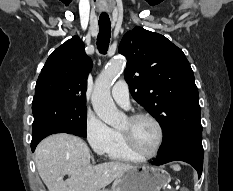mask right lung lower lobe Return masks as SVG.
<instances>
[{"mask_svg":"<svg viewBox=\"0 0 233 191\" xmlns=\"http://www.w3.org/2000/svg\"><path fill=\"white\" fill-rule=\"evenodd\" d=\"M54 133H61V131H59V130H48V131L41 132L38 135L32 136V142H31V149H32V151L35 150L37 144L43 138L47 137L48 135L54 134Z\"/></svg>","mask_w":233,"mask_h":191,"instance_id":"98d812e1","label":"right lung lower lobe"}]
</instances>
